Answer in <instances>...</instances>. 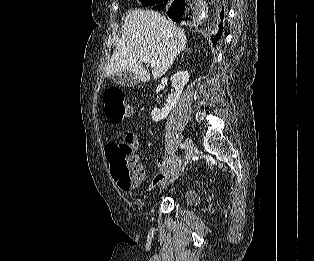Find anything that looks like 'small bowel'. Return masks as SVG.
Masks as SVG:
<instances>
[{
  "mask_svg": "<svg viewBox=\"0 0 314 261\" xmlns=\"http://www.w3.org/2000/svg\"><path fill=\"white\" fill-rule=\"evenodd\" d=\"M127 138L132 139L135 147L138 146V141H137V138L135 136H127ZM140 159H141L140 154L135 153L133 156L134 167H135L136 173L139 174L140 181H141L145 178V173L143 170V166L140 163ZM171 165L173 167L177 166V161L175 158L168 159L165 157H161V158L157 159L156 167L159 170V173L150 182V184L147 188L148 191H152L156 186H158L160 183H162L163 181H165L167 179V177L170 173Z\"/></svg>",
  "mask_w": 314,
  "mask_h": 261,
  "instance_id": "obj_1",
  "label": "small bowel"
}]
</instances>
